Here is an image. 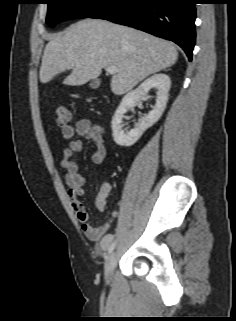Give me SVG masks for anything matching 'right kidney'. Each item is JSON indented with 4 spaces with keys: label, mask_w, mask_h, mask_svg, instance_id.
Instances as JSON below:
<instances>
[{
    "label": "right kidney",
    "mask_w": 236,
    "mask_h": 321,
    "mask_svg": "<svg viewBox=\"0 0 236 321\" xmlns=\"http://www.w3.org/2000/svg\"><path fill=\"white\" fill-rule=\"evenodd\" d=\"M171 86V80L166 74H154L143 81L135 90L127 93L120 102L111 122L112 135L116 144L120 146H132L142 134L152 127L162 116L168 101V93ZM151 88L157 89V99L153 110L148 115L141 118V121L129 132H124L123 117L126 112L132 108L143 96H146Z\"/></svg>",
    "instance_id": "right-kidney-1"
}]
</instances>
